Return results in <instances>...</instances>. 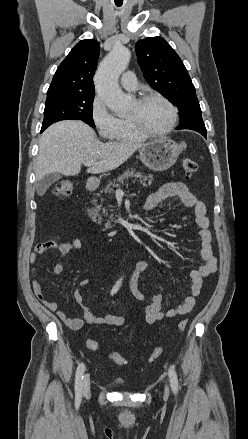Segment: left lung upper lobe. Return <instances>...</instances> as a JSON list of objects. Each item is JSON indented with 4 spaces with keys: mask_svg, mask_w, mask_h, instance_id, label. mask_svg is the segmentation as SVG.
Segmentation results:
<instances>
[{
    "mask_svg": "<svg viewBox=\"0 0 248 439\" xmlns=\"http://www.w3.org/2000/svg\"><path fill=\"white\" fill-rule=\"evenodd\" d=\"M136 52L146 81L178 107L177 129L206 132L195 87L172 47L161 37H151L138 41Z\"/></svg>",
    "mask_w": 248,
    "mask_h": 439,
    "instance_id": "obj_1",
    "label": "left lung upper lobe"
}]
</instances>
